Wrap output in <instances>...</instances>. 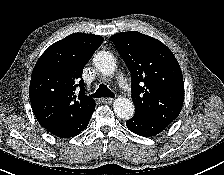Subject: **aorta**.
Here are the masks:
<instances>
[{"label":"aorta","instance_id":"762f6f07","mask_svg":"<svg viewBox=\"0 0 224 175\" xmlns=\"http://www.w3.org/2000/svg\"><path fill=\"white\" fill-rule=\"evenodd\" d=\"M93 63L97 70L103 75L110 76L116 69L115 57L107 51H100L95 54ZM113 109L118 118L129 120L134 115L135 107L133 102L129 99L118 97L114 100Z\"/></svg>","mask_w":224,"mask_h":175}]
</instances>
